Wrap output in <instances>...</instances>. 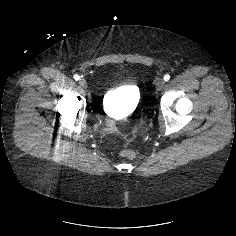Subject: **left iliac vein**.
<instances>
[{
    "label": "left iliac vein",
    "mask_w": 236,
    "mask_h": 236,
    "mask_svg": "<svg viewBox=\"0 0 236 236\" xmlns=\"http://www.w3.org/2000/svg\"><path fill=\"white\" fill-rule=\"evenodd\" d=\"M165 86V81L163 79H159L157 82H156V89L158 91L162 90Z\"/></svg>",
    "instance_id": "obj_1"
}]
</instances>
